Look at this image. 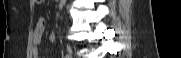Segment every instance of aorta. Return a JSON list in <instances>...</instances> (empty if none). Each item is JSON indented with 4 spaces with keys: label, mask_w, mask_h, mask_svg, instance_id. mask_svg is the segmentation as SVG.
Masks as SVG:
<instances>
[{
    "label": "aorta",
    "mask_w": 181,
    "mask_h": 58,
    "mask_svg": "<svg viewBox=\"0 0 181 58\" xmlns=\"http://www.w3.org/2000/svg\"><path fill=\"white\" fill-rule=\"evenodd\" d=\"M65 4H66V0H60L59 6H58L59 10H62Z\"/></svg>",
    "instance_id": "762f6f07"
}]
</instances>
